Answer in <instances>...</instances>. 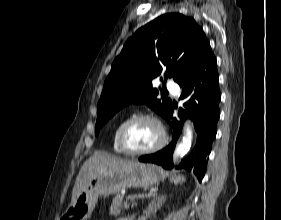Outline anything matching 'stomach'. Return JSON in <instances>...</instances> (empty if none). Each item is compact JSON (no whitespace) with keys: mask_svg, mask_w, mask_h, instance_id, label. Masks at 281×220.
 <instances>
[{"mask_svg":"<svg viewBox=\"0 0 281 220\" xmlns=\"http://www.w3.org/2000/svg\"><path fill=\"white\" fill-rule=\"evenodd\" d=\"M161 174L162 171L158 166L139 162L115 170L99 171L71 201L61 220H87L99 196L116 194L130 187L153 186Z\"/></svg>","mask_w":281,"mask_h":220,"instance_id":"1","label":"stomach"}]
</instances>
